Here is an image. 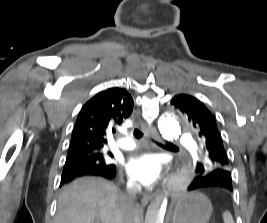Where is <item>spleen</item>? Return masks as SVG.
<instances>
[{
	"label": "spleen",
	"mask_w": 267,
	"mask_h": 223,
	"mask_svg": "<svg viewBox=\"0 0 267 223\" xmlns=\"http://www.w3.org/2000/svg\"><path fill=\"white\" fill-rule=\"evenodd\" d=\"M224 223H234L233 217L230 212L226 211L223 213Z\"/></svg>",
	"instance_id": "3e777b00"
}]
</instances>
